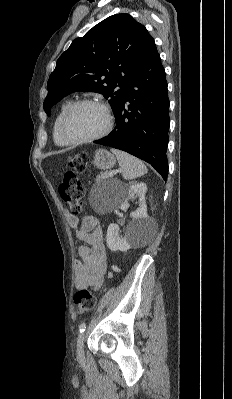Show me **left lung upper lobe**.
I'll use <instances>...</instances> for the list:
<instances>
[{"label":"left lung upper lobe","instance_id":"left-lung-upper-lobe-1","mask_svg":"<svg viewBox=\"0 0 232 399\" xmlns=\"http://www.w3.org/2000/svg\"><path fill=\"white\" fill-rule=\"evenodd\" d=\"M153 38L129 14L112 15L76 38L57 60L51 73L44 111L75 91L104 95L117 112L126 85L147 44Z\"/></svg>","mask_w":232,"mask_h":399}]
</instances>
